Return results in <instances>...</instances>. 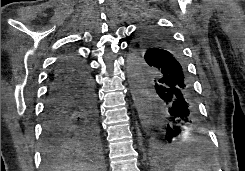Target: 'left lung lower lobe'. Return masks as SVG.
I'll list each match as a JSON object with an SVG mask.
<instances>
[{"mask_svg": "<svg viewBox=\"0 0 245 171\" xmlns=\"http://www.w3.org/2000/svg\"><path fill=\"white\" fill-rule=\"evenodd\" d=\"M132 67H140L153 94V106L157 115L161 137L150 135L147 145L155 162H166L176 152L168 149L167 144L180 140L199 124V111L195 100L191 79L178 49L165 48L154 51L148 61H136ZM160 156V157H158Z\"/></svg>", "mask_w": 245, "mask_h": 171, "instance_id": "left-lung-lower-lobe-1", "label": "left lung lower lobe"}]
</instances>
